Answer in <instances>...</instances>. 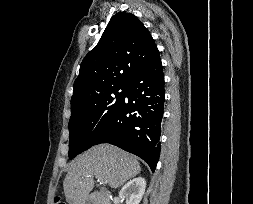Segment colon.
Returning a JSON list of instances; mask_svg holds the SVG:
<instances>
[{
    "label": "colon",
    "instance_id": "5ec220e1",
    "mask_svg": "<svg viewBox=\"0 0 253 204\" xmlns=\"http://www.w3.org/2000/svg\"><path fill=\"white\" fill-rule=\"evenodd\" d=\"M54 204H65V202L61 198L56 197L54 199Z\"/></svg>",
    "mask_w": 253,
    "mask_h": 204
}]
</instances>
